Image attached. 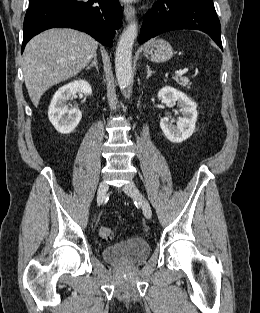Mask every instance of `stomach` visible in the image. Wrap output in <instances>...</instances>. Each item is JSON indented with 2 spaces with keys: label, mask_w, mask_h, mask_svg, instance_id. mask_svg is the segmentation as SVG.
<instances>
[{
  "label": "stomach",
  "mask_w": 260,
  "mask_h": 313,
  "mask_svg": "<svg viewBox=\"0 0 260 313\" xmlns=\"http://www.w3.org/2000/svg\"><path fill=\"white\" fill-rule=\"evenodd\" d=\"M144 54L152 62H166L173 57V48L166 40L153 39L144 47Z\"/></svg>",
  "instance_id": "1"
}]
</instances>
